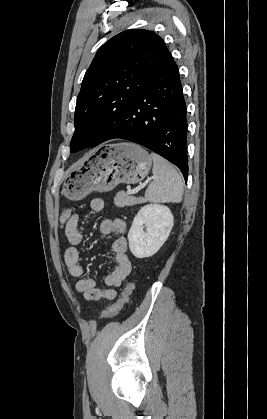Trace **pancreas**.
<instances>
[{
  "instance_id": "cf45deb5",
  "label": "pancreas",
  "mask_w": 267,
  "mask_h": 419,
  "mask_svg": "<svg viewBox=\"0 0 267 419\" xmlns=\"http://www.w3.org/2000/svg\"><path fill=\"white\" fill-rule=\"evenodd\" d=\"M143 202L144 200L142 197L137 198L134 196H129L124 191H119L114 198V203L118 208H123L125 206H133L136 204H141Z\"/></svg>"
}]
</instances>
